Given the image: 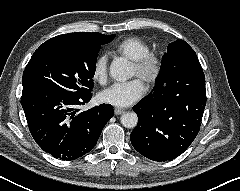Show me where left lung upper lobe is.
<instances>
[{"mask_svg": "<svg viewBox=\"0 0 240 191\" xmlns=\"http://www.w3.org/2000/svg\"><path fill=\"white\" fill-rule=\"evenodd\" d=\"M203 72L195 51L184 40H176L167 47L160 72L152 92L166 86L181 74Z\"/></svg>", "mask_w": 240, "mask_h": 191, "instance_id": "obj_1", "label": "left lung upper lobe"}]
</instances>
